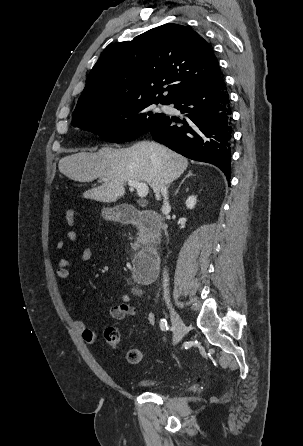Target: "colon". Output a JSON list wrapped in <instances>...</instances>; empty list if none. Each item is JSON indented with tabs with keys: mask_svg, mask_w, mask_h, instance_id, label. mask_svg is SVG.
<instances>
[{
	"mask_svg": "<svg viewBox=\"0 0 303 446\" xmlns=\"http://www.w3.org/2000/svg\"><path fill=\"white\" fill-rule=\"evenodd\" d=\"M65 218L68 225L75 224V215L73 210L68 209L65 213ZM104 339L108 346L117 347L120 343V333L116 327L109 326L104 331ZM127 360L131 364H139L143 359V353L140 349L132 348L127 352Z\"/></svg>",
	"mask_w": 303,
	"mask_h": 446,
	"instance_id": "colon-1",
	"label": "colon"
}]
</instances>
